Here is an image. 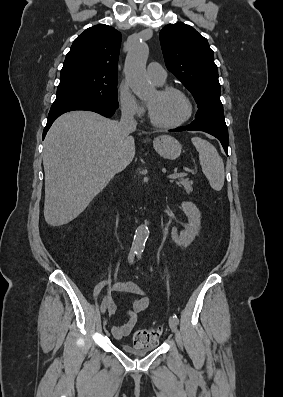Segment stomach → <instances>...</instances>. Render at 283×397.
Here are the masks:
<instances>
[{
    "label": "stomach",
    "mask_w": 283,
    "mask_h": 397,
    "mask_svg": "<svg viewBox=\"0 0 283 397\" xmlns=\"http://www.w3.org/2000/svg\"><path fill=\"white\" fill-rule=\"evenodd\" d=\"M153 147L165 159L175 160L182 151V146L177 139L170 135H161L154 139Z\"/></svg>",
    "instance_id": "1"
}]
</instances>
